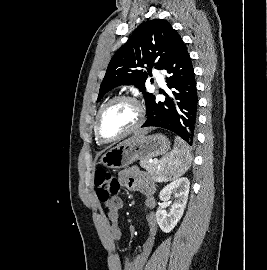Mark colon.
I'll return each instance as SVG.
<instances>
[{"label":"colon","mask_w":267,"mask_h":270,"mask_svg":"<svg viewBox=\"0 0 267 270\" xmlns=\"http://www.w3.org/2000/svg\"><path fill=\"white\" fill-rule=\"evenodd\" d=\"M95 187L97 198L107 202L119 192L120 181L109 171L100 169L95 173Z\"/></svg>","instance_id":"5ec220e1"}]
</instances>
